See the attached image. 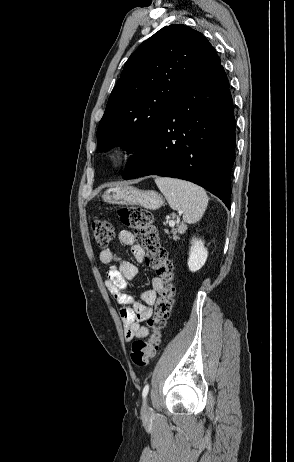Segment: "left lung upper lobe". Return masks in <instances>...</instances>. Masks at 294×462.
Listing matches in <instances>:
<instances>
[{
	"label": "left lung upper lobe",
	"mask_w": 294,
	"mask_h": 462,
	"mask_svg": "<svg viewBox=\"0 0 294 462\" xmlns=\"http://www.w3.org/2000/svg\"><path fill=\"white\" fill-rule=\"evenodd\" d=\"M220 62L209 41L188 26L156 32L124 65L99 123L98 148L136 151L155 135L178 96Z\"/></svg>",
	"instance_id": "left-lung-upper-lobe-1"
}]
</instances>
